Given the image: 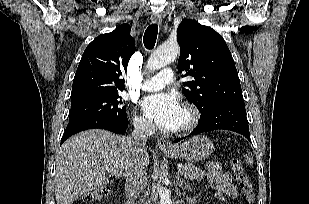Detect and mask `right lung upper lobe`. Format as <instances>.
Segmentation results:
<instances>
[{"label":"right lung upper lobe","instance_id":"right-lung-upper-lobe-1","mask_svg":"<svg viewBox=\"0 0 309 204\" xmlns=\"http://www.w3.org/2000/svg\"><path fill=\"white\" fill-rule=\"evenodd\" d=\"M130 30L122 24L87 46L73 80L71 104L124 90L122 75L135 52Z\"/></svg>","mask_w":309,"mask_h":204}]
</instances>
